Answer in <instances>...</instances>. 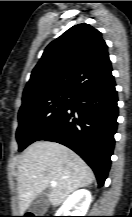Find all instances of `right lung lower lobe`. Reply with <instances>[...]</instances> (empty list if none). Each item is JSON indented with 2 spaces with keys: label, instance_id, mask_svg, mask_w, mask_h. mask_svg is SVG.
Returning <instances> with one entry per match:
<instances>
[{
  "label": "right lung lower lobe",
  "instance_id": "98d812e1",
  "mask_svg": "<svg viewBox=\"0 0 132 217\" xmlns=\"http://www.w3.org/2000/svg\"><path fill=\"white\" fill-rule=\"evenodd\" d=\"M112 77L75 94L71 105L38 140L63 144L93 169L99 187L110 169L117 129V92ZM37 140V141H38Z\"/></svg>",
  "mask_w": 132,
  "mask_h": 217
}]
</instances>
